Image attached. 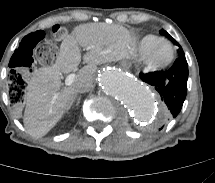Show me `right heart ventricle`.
Listing matches in <instances>:
<instances>
[{
  "mask_svg": "<svg viewBox=\"0 0 215 183\" xmlns=\"http://www.w3.org/2000/svg\"><path fill=\"white\" fill-rule=\"evenodd\" d=\"M162 38L157 36V35H153V34H148L145 35L144 37H142L139 42H138V46H137V51L139 56L143 57L144 54L149 51L157 42H159Z\"/></svg>",
  "mask_w": 215,
  "mask_h": 183,
  "instance_id": "1",
  "label": "right heart ventricle"
}]
</instances>
